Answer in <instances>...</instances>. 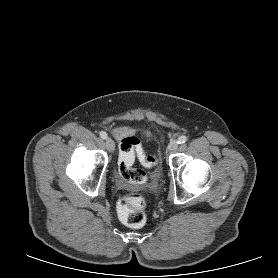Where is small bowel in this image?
I'll use <instances>...</instances> for the list:
<instances>
[{
	"instance_id": "c3829d8e",
	"label": "small bowel",
	"mask_w": 278,
	"mask_h": 278,
	"mask_svg": "<svg viewBox=\"0 0 278 278\" xmlns=\"http://www.w3.org/2000/svg\"><path fill=\"white\" fill-rule=\"evenodd\" d=\"M112 132L114 136L120 141L129 137H134L135 135V130L129 126L115 127L113 128Z\"/></svg>"
}]
</instances>
